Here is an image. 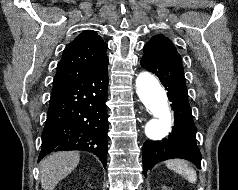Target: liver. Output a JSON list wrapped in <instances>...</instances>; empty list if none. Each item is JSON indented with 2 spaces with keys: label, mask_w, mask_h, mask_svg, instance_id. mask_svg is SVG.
Wrapping results in <instances>:
<instances>
[{
  "label": "liver",
  "mask_w": 238,
  "mask_h": 190,
  "mask_svg": "<svg viewBox=\"0 0 238 190\" xmlns=\"http://www.w3.org/2000/svg\"><path fill=\"white\" fill-rule=\"evenodd\" d=\"M77 151L52 153L40 162L41 184L44 190H54L55 186L69 175L78 165Z\"/></svg>",
  "instance_id": "obj_1"
}]
</instances>
